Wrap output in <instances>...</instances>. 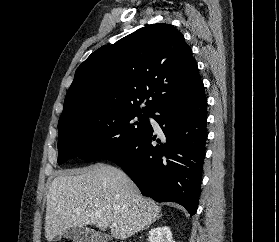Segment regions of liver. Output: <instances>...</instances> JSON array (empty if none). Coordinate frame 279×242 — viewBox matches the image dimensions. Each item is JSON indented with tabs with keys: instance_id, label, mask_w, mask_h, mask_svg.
Listing matches in <instances>:
<instances>
[{
	"instance_id": "obj_1",
	"label": "liver",
	"mask_w": 279,
	"mask_h": 242,
	"mask_svg": "<svg viewBox=\"0 0 279 242\" xmlns=\"http://www.w3.org/2000/svg\"><path fill=\"white\" fill-rule=\"evenodd\" d=\"M160 210L116 167L65 170L49 186L45 237L52 241L68 229L94 225L110 228L113 238L124 240L154 222Z\"/></svg>"
}]
</instances>
